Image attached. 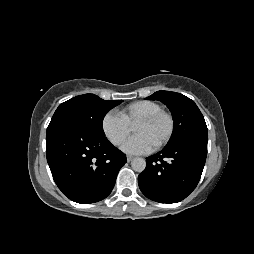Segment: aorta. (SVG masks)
Returning <instances> with one entry per match:
<instances>
[{
    "label": "aorta",
    "mask_w": 254,
    "mask_h": 254,
    "mask_svg": "<svg viewBox=\"0 0 254 254\" xmlns=\"http://www.w3.org/2000/svg\"><path fill=\"white\" fill-rule=\"evenodd\" d=\"M131 167L136 172H142L146 168V161L143 158H134L131 162Z\"/></svg>",
    "instance_id": "aorta-1"
}]
</instances>
